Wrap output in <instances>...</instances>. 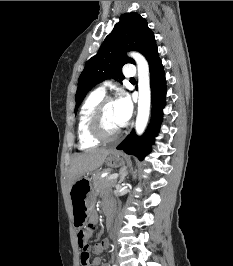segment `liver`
<instances>
[{"mask_svg": "<svg viewBox=\"0 0 233 266\" xmlns=\"http://www.w3.org/2000/svg\"><path fill=\"white\" fill-rule=\"evenodd\" d=\"M111 151L110 149H91L74 154L68 174L69 188L71 189L74 183L85 174L98 169Z\"/></svg>", "mask_w": 233, "mask_h": 266, "instance_id": "obj_1", "label": "liver"}]
</instances>
